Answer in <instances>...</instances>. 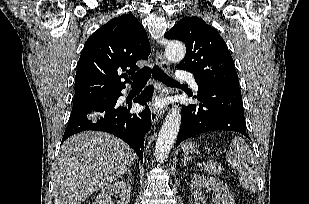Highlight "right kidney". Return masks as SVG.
Listing matches in <instances>:
<instances>
[{"label": "right kidney", "instance_id": "ca27d5eb", "mask_svg": "<svg viewBox=\"0 0 309 204\" xmlns=\"http://www.w3.org/2000/svg\"><path fill=\"white\" fill-rule=\"evenodd\" d=\"M131 193V186L126 181H116L113 184L107 185L98 194L93 204H112V196L119 194L121 200L117 201V204H129Z\"/></svg>", "mask_w": 309, "mask_h": 204}]
</instances>
